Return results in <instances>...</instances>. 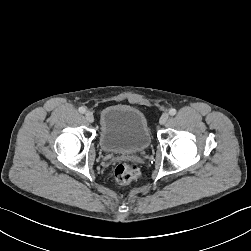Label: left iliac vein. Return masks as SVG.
<instances>
[{"label": "left iliac vein", "mask_w": 251, "mask_h": 251, "mask_svg": "<svg viewBox=\"0 0 251 251\" xmlns=\"http://www.w3.org/2000/svg\"><path fill=\"white\" fill-rule=\"evenodd\" d=\"M169 119V114L168 113H163L159 119V123L161 125H164Z\"/></svg>", "instance_id": "4c4485c4"}]
</instances>
